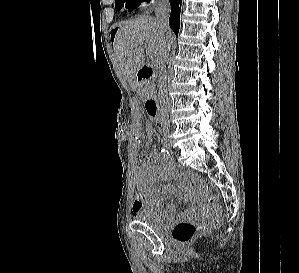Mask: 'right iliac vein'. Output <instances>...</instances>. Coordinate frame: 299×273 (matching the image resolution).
I'll use <instances>...</instances> for the list:
<instances>
[{"label":"right iliac vein","instance_id":"obj_1","mask_svg":"<svg viewBox=\"0 0 299 273\" xmlns=\"http://www.w3.org/2000/svg\"><path fill=\"white\" fill-rule=\"evenodd\" d=\"M164 147L167 148V149H170L171 144L169 142H165L164 143Z\"/></svg>","mask_w":299,"mask_h":273}]
</instances>
